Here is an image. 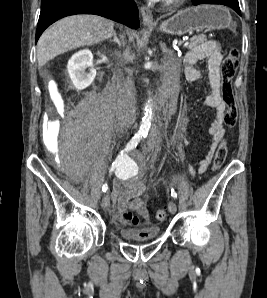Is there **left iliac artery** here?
<instances>
[{
	"label": "left iliac artery",
	"instance_id": "1",
	"mask_svg": "<svg viewBox=\"0 0 267 298\" xmlns=\"http://www.w3.org/2000/svg\"><path fill=\"white\" fill-rule=\"evenodd\" d=\"M171 196L176 199L177 198V193L174 189H171Z\"/></svg>",
	"mask_w": 267,
	"mask_h": 298
}]
</instances>
